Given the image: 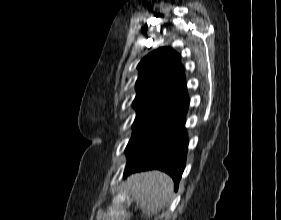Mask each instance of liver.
<instances>
[{
	"label": "liver",
	"instance_id": "6515ba94",
	"mask_svg": "<svg viewBox=\"0 0 281 220\" xmlns=\"http://www.w3.org/2000/svg\"><path fill=\"white\" fill-rule=\"evenodd\" d=\"M126 185L147 219L156 215L173 193L172 179L158 170L135 173L128 177Z\"/></svg>",
	"mask_w": 281,
	"mask_h": 220
}]
</instances>
